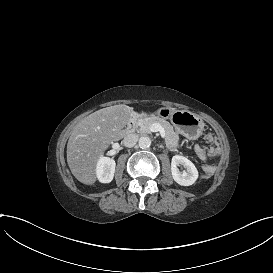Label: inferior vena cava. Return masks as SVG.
<instances>
[{
  "label": "inferior vena cava",
  "mask_w": 273,
  "mask_h": 273,
  "mask_svg": "<svg viewBox=\"0 0 273 273\" xmlns=\"http://www.w3.org/2000/svg\"><path fill=\"white\" fill-rule=\"evenodd\" d=\"M138 139H139V137L137 134H129L124 138L123 144L125 147L131 148V147L135 146Z\"/></svg>",
  "instance_id": "inferior-vena-cava-1"
}]
</instances>
